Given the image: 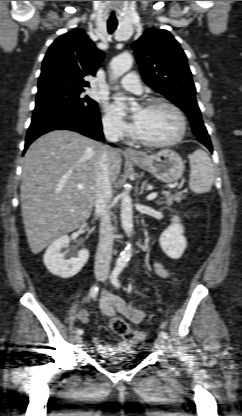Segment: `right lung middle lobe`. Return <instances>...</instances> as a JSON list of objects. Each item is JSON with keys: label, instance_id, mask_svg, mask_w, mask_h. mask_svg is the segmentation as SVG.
<instances>
[{"label": "right lung middle lobe", "instance_id": "obj_1", "mask_svg": "<svg viewBox=\"0 0 242 416\" xmlns=\"http://www.w3.org/2000/svg\"><path fill=\"white\" fill-rule=\"evenodd\" d=\"M83 91V89L63 88L50 94L37 96L33 113L50 108L67 110L80 116L98 112L97 103L88 96H84Z\"/></svg>", "mask_w": 242, "mask_h": 416}]
</instances>
